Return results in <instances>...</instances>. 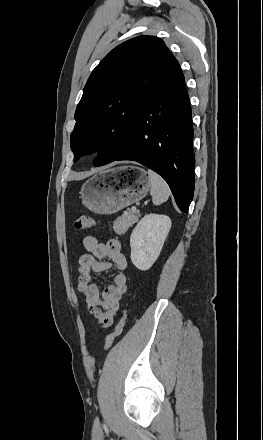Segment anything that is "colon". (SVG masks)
Segmentation results:
<instances>
[{
	"label": "colon",
	"instance_id": "colon-1",
	"mask_svg": "<svg viewBox=\"0 0 263 440\" xmlns=\"http://www.w3.org/2000/svg\"><path fill=\"white\" fill-rule=\"evenodd\" d=\"M94 226V221L87 216H79L75 219L74 228L76 230H85L92 228ZM124 324V319L122 318L113 328V330L107 335L104 349L107 350L114 343L115 339L119 336L122 331Z\"/></svg>",
	"mask_w": 263,
	"mask_h": 440
}]
</instances>
